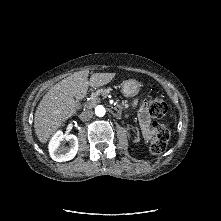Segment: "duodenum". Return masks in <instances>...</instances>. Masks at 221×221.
<instances>
[{
  "mask_svg": "<svg viewBox=\"0 0 221 221\" xmlns=\"http://www.w3.org/2000/svg\"><path fill=\"white\" fill-rule=\"evenodd\" d=\"M111 111L114 113H118V109L116 107H111Z\"/></svg>",
  "mask_w": 221,
  "mask_h": 221,
  "instance_id": "duodenum-1",
  "label": "duodenum"
}]
</instances>
